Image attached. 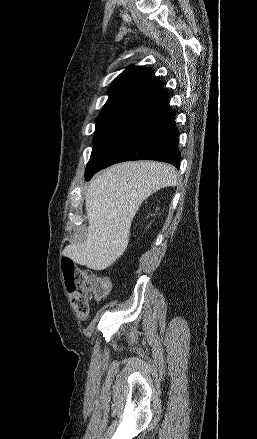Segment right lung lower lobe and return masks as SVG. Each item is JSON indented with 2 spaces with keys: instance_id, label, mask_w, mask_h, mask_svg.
Masks as SVG:
<instances>
[{
  "instance_id": "right-lung-lower-lobe-1",
  "label": "right lung lower lobe",
  "mask_w": 257,
  "mask_h": 439,
  "mask_svg": "<svg viewBox=\"0 0 257 439\" xmlns=\"http://www.w3.org/2000/svg\"><path fill=\"white\" fill-rule=\"evenodd\" d=\"M178 130L167 97L126 120L90 159L85 179L112 164L150 159L167 162L179 169Z\"/></svg>"
}]
</instances>
